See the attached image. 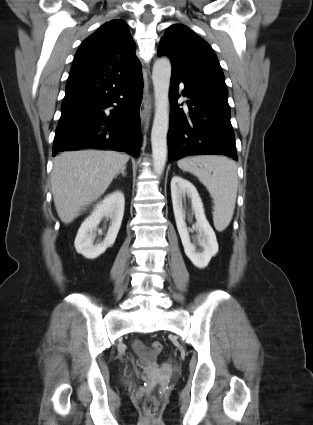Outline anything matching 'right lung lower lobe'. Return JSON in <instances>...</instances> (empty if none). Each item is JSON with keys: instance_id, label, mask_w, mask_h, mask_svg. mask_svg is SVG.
Returning <instances> with one entry per match:
<instances>
[{"instance_id": "1", "label": "right lung lower lobe", "mask_w": 313, "mask_h": 425, "mask_svg": "<svg viewBox=\"0 0 313 425\" xmlns=\"http://www.w3.org/2000/svg\"><path fill=\"white\" fill-rule=\"evenodd\" d=\"M142 94L141 67L69 75L53 156L71 149L109 148L137 157Z\"/></svg>"}]
</instances>
